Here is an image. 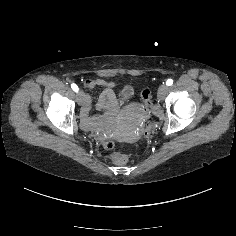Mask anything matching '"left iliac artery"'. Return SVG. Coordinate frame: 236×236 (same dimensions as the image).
<instances>
[{"instance_id": "left-iliac-artery-1", "label": "left iliac artery", "mask_w": 236, "mask_h": 236, "mask_svg": "<svg viewBox=\"0 0 236 236\" xmlns=\"http://www.w3.org/2000/svg\"><path fill=\"white\" fill-rule=\"evenodd\" d=\"M173 84V80L172 79H168L166 82V85L170 86Z\"/></svg>"}]
</instances>
